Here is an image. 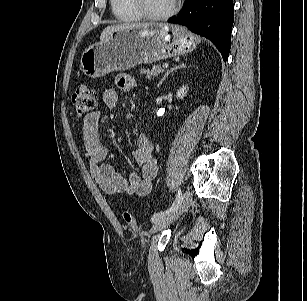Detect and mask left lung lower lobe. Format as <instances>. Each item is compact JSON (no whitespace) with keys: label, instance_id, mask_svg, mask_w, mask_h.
<instances>
[{"label":"left lung lower lobe","instance_id":"obj_1","mask_svg":"<svg viewBox=\"0 0 307 301\" xmlns=\"http://www.w3.org/2000/svg\"><path fill=\"white\" fill-rule=\"evenodd\" d=\"M212 41L228 59L234 22L233 0H185L181 12L168 20Z\"/></svg>","mask_w":307,"mask_h":301}]
</instances>
